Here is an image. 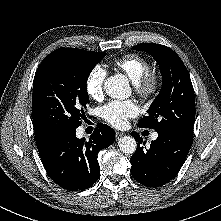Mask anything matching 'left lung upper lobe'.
<instances>
[{"mask_svg":"<svg viewBox=\"0 0 221 221\" xmlns=\"http://www.w3.org/2000/svg\"><path fill=\"white\" fill-rule=\"evenodd\" d=\"M145 51L157 61L162 75V88L151 104L148 115L138 126L156 131H178L193 137L195 98L189 72L172 49L155 43L133 47Z\"/></svg>","mask_w":221,"mask_h":221,"instance_id":"left-lung-upper-lobe-1","label":"left lung upper lobe"}]
</instances>
